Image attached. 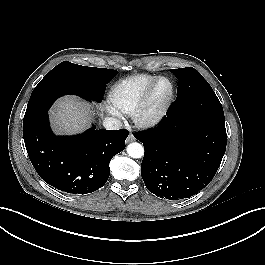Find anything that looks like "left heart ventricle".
Masks as SVG:
<instances>
[{"label":"left heart ventricle","instance_id":"left-heart-ventricle-1","mask_svg":"<svg viewBox=\"0 0 265 265\" xmlns=\"http://www.w3.org/2000/svg\"><path fill=\"white\" fill-rule=\"evenodd\" d=\"M169 93H170L169 82L167 80L159 81V83L157 84V86L154 90L153 97H152L151 103H150V108L152 110H157V109L161 108L164 101L168 97Z\"/></svg>","mask_w":265,"mask_h":265}]
</instances>
